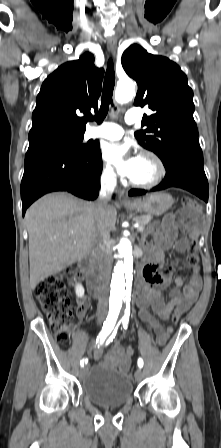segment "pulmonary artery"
<instances>
[{
	"label": "pulmonary artery",
	"mask_w": 221,
	"mask_h": 448,
	"mask_svg": "<svg viewBox=\"0 0 221 448\" xmlns=\"http://www.w3.org/2000/svg\"><path fill=\"white\" fill-rule=\"evenodd\" d=\"M139 120V111L135 108H131L127 111L125 115V121L128 124L136 123ZM123 135V129L111 122H104L100 126L92 127L87 132V138L90 139H107V140H117Z\"/></svg>",
	"instance_id": "1"
}]
</instances>
